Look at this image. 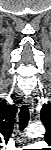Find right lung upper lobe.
Wrapping results in <instances>:
<instances>
[{"label": "right lung upper lobe", "instance_id": "1", "mask_svg": "<svg viewBox=\"0 0 51 150\" xmlns=\"http://www.w3.org/2000/svg\"><path fill=\"white\" fill-rule=\"evenodd\" d=\"M17 107L7 105L5 102L0 103V144L7 142L11 136L15 123Z\"/></svg>", "mask_w": 51, "mask_h": 150}]
</instances>
